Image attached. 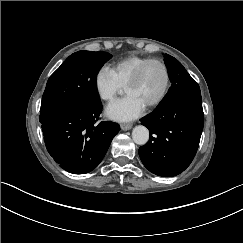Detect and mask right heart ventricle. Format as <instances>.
I'll list each match as a JSON object with an SVG mask.
<instances>
[{"label": "right heart ventricle", "instance_id": "right-heart-ventricle-1", "mask_svg": "<svg viewBox=\"0 0 243 243\" xmlns=\"http://www.w3.org/2000/svg\"><path fill=\"white\" fill-rule=\"evenodd\" d=\"M149 58L150 57L147 56L133 54L112 64L111 68L115 74L118 83L121 86H125L126 82L136 71L139 65Z\"/></svg>", "mask_w": 243, "mask_h": 243}]
</instances>
